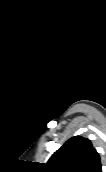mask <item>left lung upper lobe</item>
<instances>
[{"mask_svg":"<svg viewBox=\"0 0 106 172\" xmlns=\"http://www.w3.org/2000/svg\"><path fill=\"white\" fill-rule=\"evenodd\" d=\"M51 172H102L100 157L91 141L81 136L70 138L49 159Z\"/></svg>","mask_w":106,"mask_h":172,"instance_id":"5c2ea615","label":"left lung upper lobe"}]
</instances>
